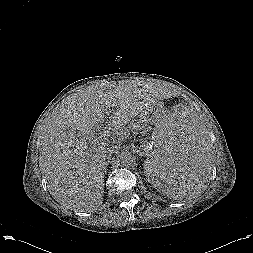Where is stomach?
Here are the masks:
<instances>
[{"label": "stomach", "instance_id": "obj_1", "mask_svg": "<svg viewBox=\"0 0 253 253\" xmlns=\"http://www.w3.org/2000/svg\"><path fill=\"white\" fill-rule=\"evenodd\" d=\"M161 115V110L157 106H148L147 108L143 109L140 113V119L144 123H154L156 124L158 121L163 119Z\"/></svg>", "mask_w": 253, "mask_h": 253}]
</instances>
